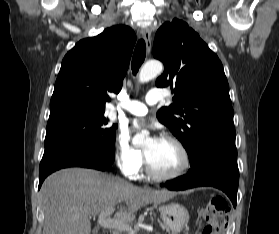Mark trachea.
<instances>
[{"instance_id": "trachea-1", "label": "trachea", "mask_w": 279, "mask_h": 234, "mask_svg": "<svg viewBox=\"0 0 279 234\" xmlns=\"http://www.w3.org/2000/svg\"><path fill=\"white\" fill-rule=\"evenodd\" d=\"M145 56H146L145 41L143 39H140L136 45L133 58H132L131 68L134 75H136L140 66L144 62Z\"/></svg>"}]
</instances>
